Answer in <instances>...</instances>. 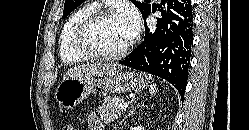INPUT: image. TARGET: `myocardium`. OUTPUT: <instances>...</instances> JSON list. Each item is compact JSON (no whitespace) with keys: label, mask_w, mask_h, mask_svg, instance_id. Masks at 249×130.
<instances>
[{"label":"myocardium","mask_w":249,"mask_h":130,"mask_svg":"<svg viewBox=\"0 0 249 130\" xmlns=\"http://www.w3.org/2000/svg\"><path fill=\"white\" fill-rule=\"evenodd\" d=\"M117 15L110 9H95L87 15L79 24L76 36L75 47L84 56L100 61H116L124 58L131 49L133 40L131 39L120 51L116 53H104L96 49L90 40L92 28L100 20Z\"/></svg>","instance_id":"myocardium-1"}]
</instances>
